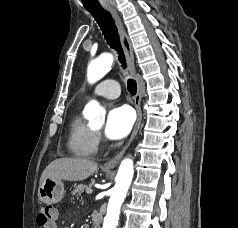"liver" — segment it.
<instances>
[{"mask_svg": "<svg viewBox=\"0 0 238 228\" xmlns=\"http://www.w3.org/2000/svg\"><path fill=\"white\" fill-rule=\"evenodd\" d=\"M98 164L84 158H59L43 171L40 184L48 178L67 181H83L93 175Z\"/></svg>", "mask_w": 238, "mask_h": 228, "instance_id": "obj_1", "label": "liver"}]
</instances>
